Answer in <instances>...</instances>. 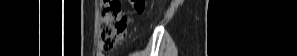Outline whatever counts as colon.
Returning <instances> with one entry per match:
<instances>
[{
	"label": "colon",
	"instance_id": "obj_1",
	"mask_svg": "<svg viewBox=\"0 0 297 56\" xmlns=\"http://www.w3.org/2000/svg\"><path fill=\"white\" fill-rule=\"evenodd\" d=\"M132 4L137 12L144 10V0H133ZM129 21V13L122 8L120 2L104 1L99 20L98 49L100 53H109L114 49L116 43L123 37Z\"/></svg>",
	"mask_w": 297,
	"mask_h": 56
}]
</instances>
